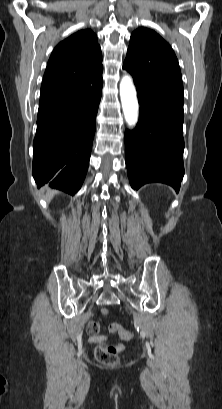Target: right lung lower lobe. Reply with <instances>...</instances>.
<instances>
[{"mask_svg":"<svg viewBox=\"0 0 222 409\" xmlns=\"http://www.w3.org/2000/svg\"><path fill=\"white\" fill-rule=\"evenodd\" d=\"M102 73L79 93L39 103L33 142V177L74 195L88 169L95 120L102 95Z\"/></svg>","mask_w":222,"mask_h":409,"instance_id":"right-lung-lower-lobe-1","label":"right lung lower lobe"}]
</instances>
